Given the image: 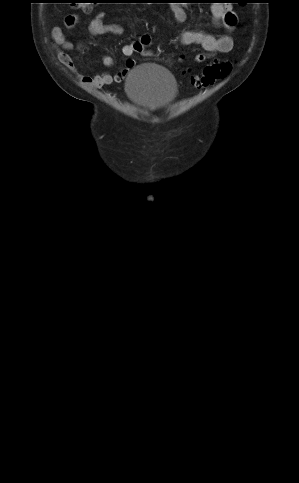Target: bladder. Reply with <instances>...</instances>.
I'll list each match as a JSON object with an SVG mask.
<instances>
[{"instance_id": "obj_1", "label": "bladder", "mask_w": 299, "mask_h": 483, "mask_svg": "<svg viewBox=\"0 0 299 483\" xmlns=\"http://www.w3.org/2000/svg\"><path fill=\"white\" fill-rule=\"evenodd\" d=\"M125 90L133 103L148 109L169 104L178 92L173 75L151 63L142 64L130 71Z\"/></svg>"}]
</instances>
